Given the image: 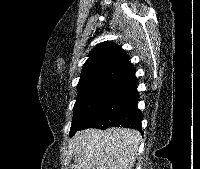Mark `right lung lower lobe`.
Returning a JSON list of instances; mask_svg holds the SVG:
<instances>
[{
    "instance_id": "obj_1",
    "label": "right lung lower lobe",
    "mask_w": 200,
    "mask_h": 169,
    "mask_svg": "<svg viewBox=\"0 0 200 169\" xmlns=\"http://www.w3.org/2000/svg\"><path fill=\"white\" fill-rule=\"evenodd\" d=\"M137 84L136 77L116 84L108 99L82 123L78 130L121 126L141 131L143 114L137 108L139 101Z\"/></svg>"
}]
</instances>
